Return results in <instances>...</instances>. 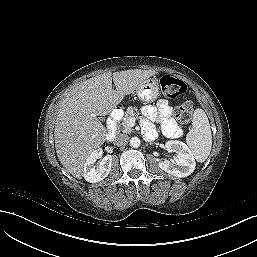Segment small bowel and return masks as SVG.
<instances>
[{
    "mask_svg": "<svg viewBox=\"0 0 257 257\" xmlns=\"http://www.w3.org/2000/svg\"><path fill=\"white\" fill-rule=\"evenodd\" d=\"M143 113L151 120L160 121L166 135L177 136L180 133L176 122L171 118L172 108L167 100L160 99L155 106H145Z\"/></svg>",
    "mask_w": 257,
    "mask_h": 257,
    "instance_id": "small-bowel-1",
    "label": "small bowel"
}]
</instances>
